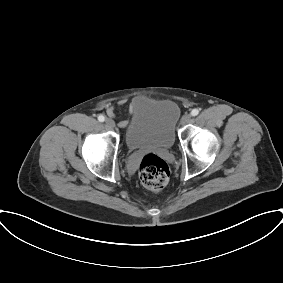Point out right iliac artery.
I'll list each match as a JSON object with an SVG mask.
<instances>
[{
  "instance_id": "right-iliac-artery-1",
  "label": "right iliac artery",
  "mask_w": 283,
  "mask_h": 283,
  "mask_svg": "<svg viewBox=\"0 0 283 283\" xmlns=\"http://www.w3.org/2000/svg\"><path fill=\"white\" fill-rule=\"evenodd\" d=\"M98 120H99L100 122H104L105 117H104L103 115H99V116H98Z\"/></svg>"
}]
</instances>
